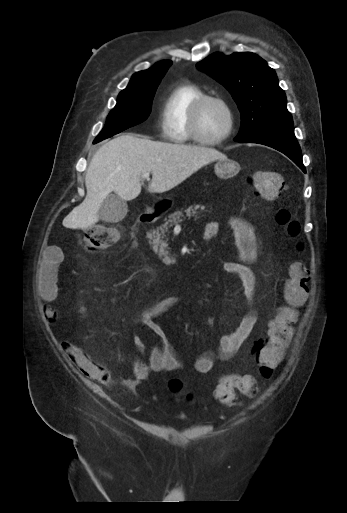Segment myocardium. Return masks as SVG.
Listing matches in <instances>:
<instances>
[{"label": "myocardium", "instance_id": "obj_1", "mask_svg": "<svg viewBox=\"0 0 347 513\" xmlns=\"http://www.w3.org/2000/svg\"><path fill=\"white\" fill-rule=\"evenodd\" d=\"M208 102H217L221 104L224 109L227 112L228 115V127L226 131L217 138L209 139L205 138L201 135L199 130V120L201 111L204 107V105ZM235 128V113L234 110L229 103L228 100H226L223 97L217 96V95H211V94H204L202 95L192 106L190 113H189V121H188V129L190 132V136L193 139V141L197 142L198 144L205 145V146H216L224 141H226L233 133Z\"/></svg>", "mask_w": 347, "mask_h": 513}]
</instances>
